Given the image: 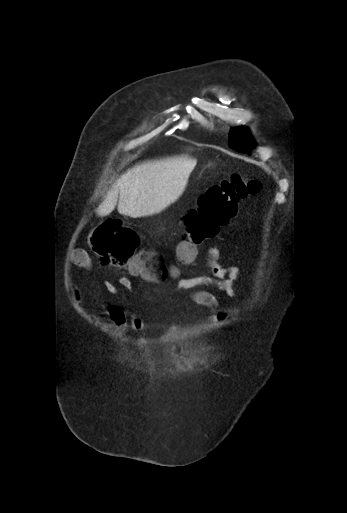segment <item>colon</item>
<instances>
[{"instance_id": "5ec220e1", "label": "colon", "mask_w": 347, "mask_h": 513, "mask_svg": "<svg viewBox=\"0 0 347 513\" xmlns=\"http://www.w3.org/2000/svg\"><path fill=\"white\" fill-rule=\"evenodd\" d=\"M259 181L233 174L219 184L209 187L197 199L181 224L182 242L179 254L190 260L196 255V246L219 235L236 215L241 200L257 194ZM91 245L101 259L110 265L126 267L144 274L154 281L167 278L169 271L161 255L148 256L137 253L138 237L119 220L107 219L92 233Z\"/></svg>"}]
</instances>
